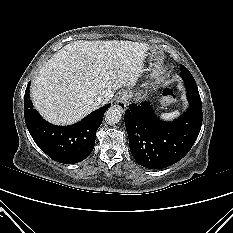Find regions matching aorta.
<instances>
[{
  "mask_svg": "<svg viewBox=\"0 0 233 233\" xmlns=\"http://www.w3.org/2000/svg\"><path fill=\"white\" fill-rule=\"evenodd\" d=\"M122 117L121 110L116 107H111L105 112V120L108 124H116Z\"/></svg>",
  "mask_w": 233,
  "mask_h": 233,
  "instance_id": "obj_1",
  "label": "aorta"
}]
</instances>
